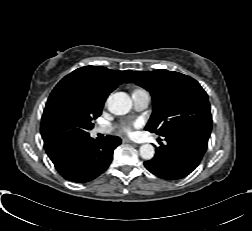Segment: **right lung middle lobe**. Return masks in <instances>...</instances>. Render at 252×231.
Segmentation results:
<instances>
[{"label": "right lung middle lobe", "mask_w": 252, "mask_h": 231, "mask_svg": "<svg viewBox=\"0 0 252 231\" xmlns=\"http://www.w3.org/2000/svg\"><path fill=\"white\" fill-rule=\"evenodd\" d=\"M102 107V104L88 102L71 90H53L41 121L44 146L59 148L68 141L89 135L93 120L100 116Z\"/></svg>", "instance_id": "1"}]
</instances>
